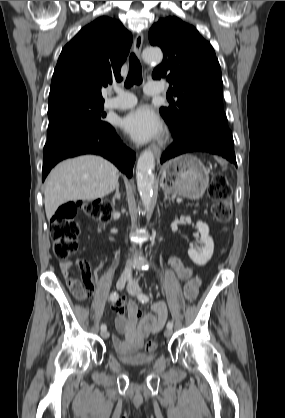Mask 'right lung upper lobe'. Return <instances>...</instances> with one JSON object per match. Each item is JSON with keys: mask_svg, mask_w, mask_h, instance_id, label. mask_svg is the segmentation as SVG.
Wrapping results in <instances>:
<instances>
[{"mask_svg": "<svg viewBox=\"0 0 285 418\" xmlns=\"http://www.w3.org/2000/svg\"><path fill=\"white\" fill-rule=\"evenodd\" d=\"M132 35L122 23L102 16L82 28L62 49L51 81L49 105L73 101L104 102L101 87L121 81L120 69Z\"/></svg>", "mask_w": 285, "mask_h": 418, "instance_id": "cb5924a9", "label": "right lung upper lobe"}]
</instances>
